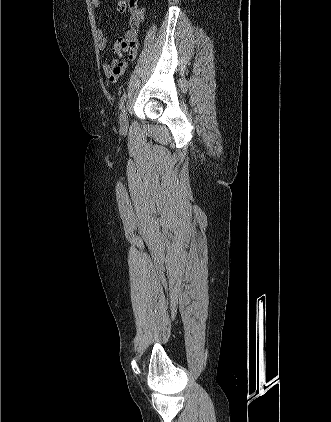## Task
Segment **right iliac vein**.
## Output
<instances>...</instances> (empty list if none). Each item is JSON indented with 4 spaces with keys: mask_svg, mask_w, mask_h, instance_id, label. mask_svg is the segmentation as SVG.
<instances>
[{
    "mask_svg": "<svg viewBox=\"0 0 331 422\" xmlns=\"http://www.w3.org/2000/svg\"><path fill=\"white\" fill-rule=\"evenodd\" d=\"M127 127H128V116H127L126 106H124L120 114V128L122 130H126Z\"/></svg>",
    "mask_w": 331,
    "mask_h": 422,
    "instance_id": "obj_1",
    "label": "right iliac vein"
}]
</instances>
